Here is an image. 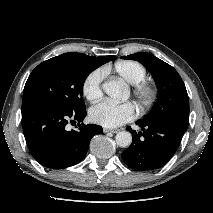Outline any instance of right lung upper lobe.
Wrapping results in <instances>:
<instances>
[{"mask_svg": "<svg viewBox=\"0 0 213 213\" xmlns=\"http://www.w3.org/2000/svg\"><path fill=\"white\" fill-rule=\"evenodd\" d=\"M73 53H76V52H73ZM76 54H78L79 56L83 57L85 60H88L91 63H93L96 66V68L99 67L100 65L108 62V61L113 60L115 58V56L95 57V56H88V55H85V54H82V53H76Z\"/></svg>", "mask_w": 213, "mask_h": 213, "instance_id": "right-lung-upper-lobe-1", "label": "right lung upper lobe"}]
</instances>
